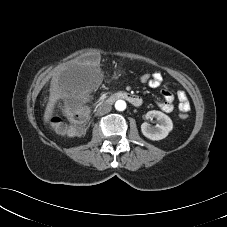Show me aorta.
I'll use <instances>...</instances> for the list:
<instances>
[{
	"instance_id": "762f6f07",
	"label": "aorta",
	"mask_w": 227,
	"mask_h": 227,
	"mask_svg": "<svg viewBox=\"0 0 227 227\" xmlns=\"http://www.w3.org/2000/svg\"><path fill=\"white\" fill-rule=\"evenodd\" d=\"M115 109L117 111H124L126 109V102L124 100H117L115 102Z\"/></svg>"
}]
</instances>
